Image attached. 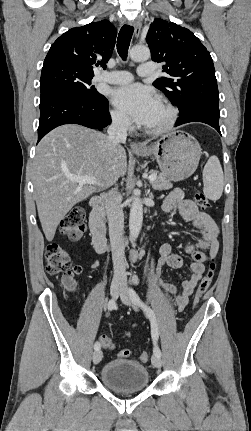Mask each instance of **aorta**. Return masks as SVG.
I'll list each match as a JSON object with an SVG mask.
<instances>
[{
	"instance_id": "obj_1",
	"label": "aorta",
	"mask_w": 251,
	"mask_h": 431,
	"mask_svg": "<svg viewBox=\"0 0 251 431\" xmlns=\"http://www.w3.org/2000/svg\"><path fill=\"white\" fill-rule=\"evenodd\" d=\"M130 58L133 61H145L150 58V50L145 46H134L130 50ZM143 222V205L140 193L132 196V203L129 216V231L132 242L138 237Z\"/></svg>"
}]
</instances>
